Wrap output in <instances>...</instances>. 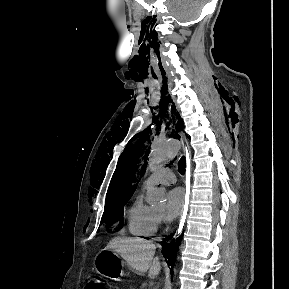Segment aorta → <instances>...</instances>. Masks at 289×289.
Returning a JSON list of instances; mask_svg holds the SVG:
<instances>
[{
  "label": "aorta",
  "mask_w": 289,
  "mask_h": 289,
  "mask_svg": "<svg viewBox=\"0 0 289 289\" xmlns=\"http://www.w3.org/2000/svg\"><path fill=\"white\" fill-rule=\"evenodd\" d=\"M181 143L176 138L160 140L157 139L152 143L151 153L149 156V167L156 170L178 155ZM165 191L160 188H151L148 190L147 202L150 205H161L165 202Z\"/></svg>",
  "instance_id": "762f6f07"
}]
</instances>
